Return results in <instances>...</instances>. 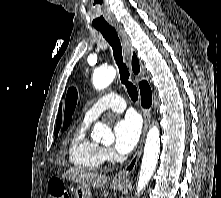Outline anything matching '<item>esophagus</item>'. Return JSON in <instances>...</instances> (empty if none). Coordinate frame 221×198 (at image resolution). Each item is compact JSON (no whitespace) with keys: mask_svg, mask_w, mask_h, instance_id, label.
<instances>
[{"mask_svg":"<svg viewBox=\"0 0 221 198\" xmlns=\"http://www.w3.org/2000/svg\"><path fill=\"white\" fill-rule=\"evenodd\" d=\"M114 27L116 28L121 38L125 60L127 64L131 66L132 46H131L130 38L121 25L114 24ZM142 114H143L144 124H143L142 136L140 139L138 149L135 152L132 159L129 161V163L113 177L112 181L114 183L124 182L131 175V173L134 171L135 167L137 166V163L142 153L144 139H145V136H146L149 124H150V118H151V114L149 110L142 109Z\"/></svg>","mask_w":221,"mask_h":198,"instance_id":"1","label":"esophagus"}]
</instances>
